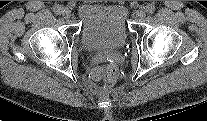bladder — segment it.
Here are the masks:
<instances>
[{
  "label": "bladder",
  "instance_id": "1",
  "mask_svg": "<svg viewBox=\"0 0 207 121\" xmlns=\"http://www.w3.org/2000/svg\"><path fill=\"white\" fill-rule=\"evenodd\" d=\"M80 39L88 51L116 50L128 37V9L122 3H83L78 8Z\"/></svg>",
  "mask_w": 207,
  "mask_h": 121
}]
</instances>
